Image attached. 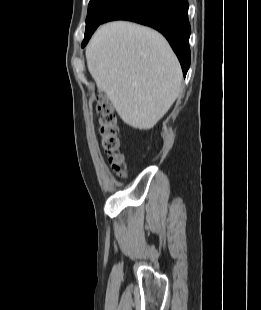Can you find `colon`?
Segmentation results:
<instances>
[{"label":"colon","instance_id":"5ec220e1","mask_svg":"<svg viewBox=\"0 0 261 310\" xmlns=\"http://www.w3.org/2000/svg\"><path fill=\"white\" fill-rule=\"evenodd\" d=\"M97 111L102 147L108 156L112 170L120 176H125L126 166L124 157L119 150V127L113 108L104 97H100Z\"/></svg>","mask_w":261,"mask_h":310}]
</instances>
